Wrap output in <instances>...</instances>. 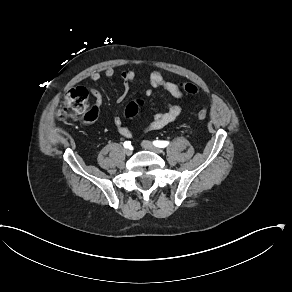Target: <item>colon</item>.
<instances>
[{
    "instance_id": "1",
    "label": "colon",
    "mask_w": 292,
    "mask_h": 292,
    "mask_svg": "<svg viewBox=\"0 0 292 292\" xmlns=\"http://www.w3.org/2000/svg\"><path fill=\"white\" fill-rule=\"evenodd\" d=\"M181 89L185 93L196 95L199 93L200 88L196 84L185 82L182 84ZM146 104L145 99L138 98L129 102L125 109L124 115L126 118L135 117L139 110ZM99 113V106L97 104H90L89 93L83 87H75L70 89L64 96L62 106L58 110V116L61 120L79 119L82 121H89L94 119ZM208 116V109L201 107L198 110L197 117L200 120L206 119Z\"/></svg>"
}]
</instances>
